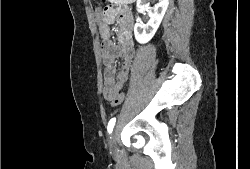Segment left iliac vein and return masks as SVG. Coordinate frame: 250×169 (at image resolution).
Instances as JSON below:
<instances>
[{
    "instance_id": "4c4485c4",
    "label": "left iliac vein",
    "mask_w": 250,
    "mask_h": 169,
    "mask_svg": "<svg viewBox=\"0 0 250 169\" xmlns=\"http://www.w3.org/2000/svg\"><path fill=\"white\" fill-rule=\"evenodd\" d=\"M117 140H118V128L116 127L113 130V133L111 134V139L109 142V147L111 150H114L116 148Z\"/></svg>"
}]
</instances>
